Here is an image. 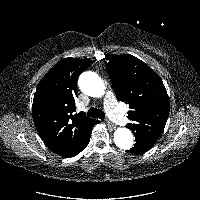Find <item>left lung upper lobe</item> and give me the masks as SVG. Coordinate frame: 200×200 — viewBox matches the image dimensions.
<instances>
[{"label":"left lung upper lobe","instance_id":"left-lung-upper-lobe-1","mask_svg":"<svg viewBox=\"0 0 200 200\" xmlns=\"http://www.w3.org/2000/svg\"><path fill=\"white\" fill-rule=\"evenodd\" d=\"M107 69L117 99L130 105L126 127L136 142L153 145L163 132L169 114V99L161 78L132 55L110 54Z\"/></svg>","mask_w":200,"mask_h":200}]
</instances>
